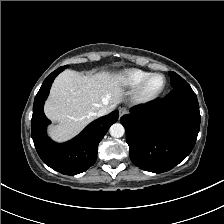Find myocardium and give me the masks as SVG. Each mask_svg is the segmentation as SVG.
Returning <instances> with one entry per match:
<instances>
[{
	"label": "myocardium",
	"mask_w": 224,
	"mask_h": 224,
	"mask_svg": "<svg viewBox=\"0 0 224 224\" xmlns=\"http://www.w3.org/2000/svg\"><path fill=\"white\" fill-rule=\"evenodd\" d=\"M156 75H161L164 77L165 83L161 90L154 94H147L145 91L148 81ZM167 77L160 72L149 73L134 89L133 98L138 103H148L157 99L166 89Z\"/></svg>",
	"instance_id": "f54148a6"
}]
</instances>
